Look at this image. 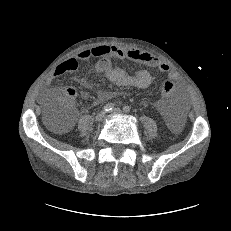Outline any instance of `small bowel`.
I'll use <instances>...</instances> for the list:
<instances>
[{"label":"small bowel","mask_w":231,"mask_h":231,"mask_svg":"<svg viewBox=\"0 0 231 231\" xmlns=\"http://www.w3.org/2000/svg\"><path fill=\"white\" fill-rule=\"evenodd\" d=\"M90 58H98V61L95 63L91 70L93 74H103L111 83L120 87L146 88L152 83L153 78L147 70L142 69L134 73H130L125 69L116 68L113 65L114 59H129L149 67L157 68L161 72L169 73V80L177 79V75L171 72L169 64L150 53L142 52L135 49L125 50L112 45H101L82 50L77 54L76 57L69 58L59 63L52 70L51 74L46 78L45 85L49 86L55 78L65 74L66 72H73L77 70L79 66V61H85ZM79 82L82 84H86V81L84 79H80ZM82 96L83 98L87 97L86 94H83ZM113 96L114 93L111 91H101L98 93L97 101L104 102L112 98ZM157 107L164 116V118L170 124H176L178 115L177 112L174 110L172 104L169 105L165 101H159ZM73 122L74 116L69 119L67 127H70Z\"/></svg>","instance_id":"small-bowel-1"}]
</instances>
